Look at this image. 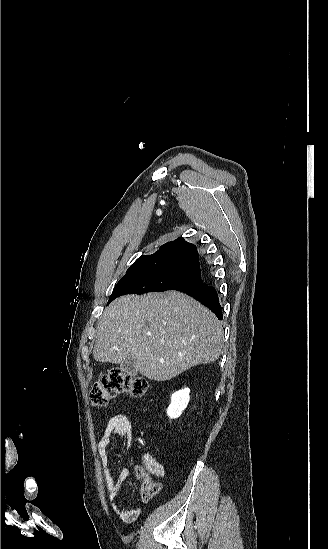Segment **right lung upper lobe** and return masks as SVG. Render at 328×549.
I'll return each mask as SVG.
<instances>
[{"label":"right lung upper lobe","mask_w":328,"mask_h":549,"mask_svg":"<svg viewBox=\"0 0 328 549\" xmlns=\"http://www.w3.org/2000/svg\"><path fill=\"white\" fill-rule=\"evenodd\" d=\"M139 269L174 270L201 276L197 248L182 237L165 243L154 254L140 256L127 271Z\"/></svg>","instance_id":"obj_1"}]
</instances>
